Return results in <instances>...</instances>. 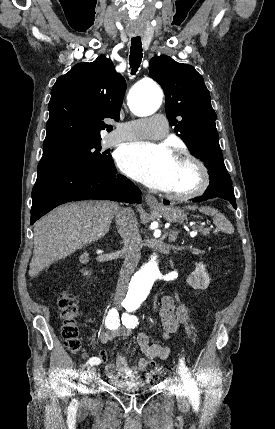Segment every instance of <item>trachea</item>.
I'll use <instances>...</instances> for the list:
<instances>
[{
	"label": "trachea",
	"mask_w": 275,
	"mask_h": 429,
	"mask_svg": "<svg viewBox=\"0 0 275 429\" xmlns=\"http://www.w3.org/2000/svg\"><path fill=\"white\" fill-rule=\"evenodd\" d=\"M143 57L142 53V43L140 37H134L131 39V47H130V67L132 68L131 74H135L141 64V60Z\"/></svg>",
	"instance_id": "trachea-1"
}]
</instances>
